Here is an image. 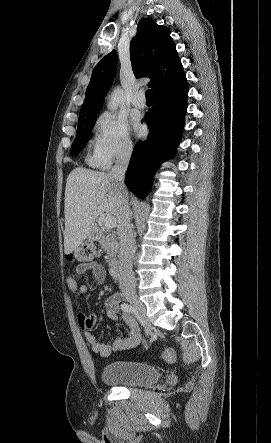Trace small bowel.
<instances>
[{"label": "small bowel", "mask_w": 271, "mask_h": 443, "mask_svg": "<svg viewBox=\"0 0 271 443\" xmlns=\"http://www.w3.org/2000/svg\"><path fill=\"white\" fill-rule=\"evenodd\" d=\"M87 272H92L98 283H101L106 276L103 264L99 262L83 263L76 268L75 275L67 279L68 288L73 292L76 291L78 288L76 279L82 278ZM119 302L120 296L117 293L108 297L104 302L108 316L114 320H122L128 327L127 336L116 338L112 342H103L92 333L96 323L94 315L78 314V324L84 332L86 342L92 351L102 356H109L114 352L134 348L141 339L140 329L135 319L128 313L120 312Z\"/></svg>", "instance_id": "1"}]
</instances>
